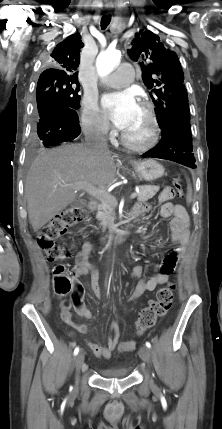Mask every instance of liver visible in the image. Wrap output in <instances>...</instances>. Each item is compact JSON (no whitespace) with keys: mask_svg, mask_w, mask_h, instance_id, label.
<instances>
[{"mask_svg":"<svg viewBox=\"0 0 222 429\" xmlns=\"http://www.w3.org/2000/svg\"><path fill=\"white\" fill-rule=\"evenodd\" d=\"M107 150L86 145H63L43 150L33 161L25 184L28 217L38 231L76 200L70 184L88 182L104 189L116 176L115 160Z\"/></svg>","mask_w":222,"mask_h":429,"instance_id":"1","label":"liver"}]
</instances>
